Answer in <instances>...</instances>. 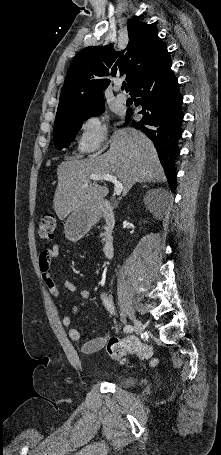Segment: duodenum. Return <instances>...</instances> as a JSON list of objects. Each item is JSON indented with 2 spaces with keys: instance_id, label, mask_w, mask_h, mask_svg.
<instances>
[{
  "instance_id": "410a0bca",
  "label": "duodenum",
  "mask_w": 221,
  "mask_h": 455,
  "mask_svg": "<svg viewBox=\"0 0 221 455\" xmlns=\"http://www.w3.org/2000/svg\"><path fill=\"white\" fill-rule=\"evenodd\" d=\"M97 211H98L99 216L101 218H103L106 223L107 236H106V240H105L104 247H103V254H104L105 258L110 259L113 257L114 248H115L113 239L110 236V232L113 229L114 224H115L114 211H113L112 205L110 203H102L98 207Z\"/></svg>"
}]
</instances>
